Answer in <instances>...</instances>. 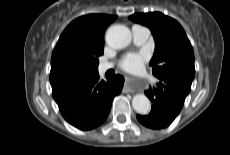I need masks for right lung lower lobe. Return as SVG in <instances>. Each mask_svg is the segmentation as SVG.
Returning a JSON list of instances; mask_svg holds the SVG:
<instances>
[{
  "label": "right lung lower lobe",
  "instance_id": "98d812e1",
  "mask_svg": "<svg viewBox=\"0 0 230 155\" xmlns=\"http://www.w3.org/2000/svg\"><path fill=\"white\" fill-rule=\"evenodd\" d=\"M121 75L103 81L98 71L78 78L51 83L52 95L62 116L74 127L91 130L101 125L111 109L113 98L121 93Z\"/></svg>",
  "mask_w": 230,
  "mask_h": 155
}]
</instances>
